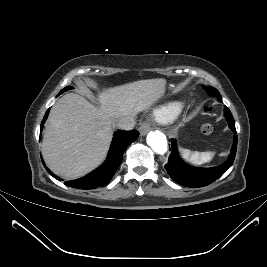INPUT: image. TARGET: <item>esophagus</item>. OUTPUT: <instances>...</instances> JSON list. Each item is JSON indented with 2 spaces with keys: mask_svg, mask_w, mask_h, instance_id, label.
Segmentation results:
<instances>
[{
  "mask_svg": "<svg viewBox=\"0 0 267 267\" xmlns=\"http://www.w3.org/2000/svg\"><path fill=\"white\" fill-rule=\"evenodd\" d=\"M149 130H150V125L147 122L141 123L139 127L140 135L142 136L146 135Z\"/></svg>",
  "mask_w": 267,
  "mask_h": 267,
  "instance_id": "esophagus-1",
  "label": "esophagus"
}]
</instances>
